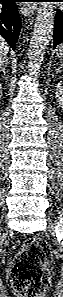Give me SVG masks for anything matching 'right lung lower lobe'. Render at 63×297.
I'll use <instances>...</instances> for the list:
<instances>
[{"mask_svg": "<svg viewBox=\"0 0 63 297\" xmlns=\"http://www.w3.org/2000/svg\"><path fill=\"white\" fill-rule=\"evenodd\" d=\"M0 10V35L14 50L21 28V18L15 0H3Z\"/></svg>", "mask_w": 63, "mask_h": 297, "instance_id": "1", "label": "right lung lower lobe"}]
</instances>
